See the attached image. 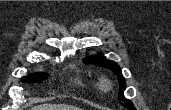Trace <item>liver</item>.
<instances>
[{"mask_svg": "<svg viewBox=\"0 0 171 110\" xmlns=\"http://www.w3.org/2000/svg\"><path fill=\"white\" fill-rule=\"evenodd\" d=\"M32 110H81L80 108L66 104H43L32 108Z\"/></svg>", "mask_w": 171, "mask_h": 110, "instance_id": "obj_1", "label": "liver"}]
</instances>
